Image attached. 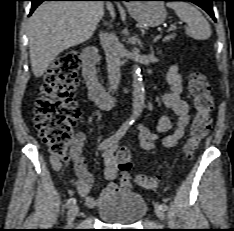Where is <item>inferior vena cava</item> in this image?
<instances>
[{
  "label": "inferior vena cava",
  "mask_w": 234,
  "mask_h": 231,
  "mask_svg": "<svg viewBox=\"0 0 234 231\" xmlns=\"http://www.w3.org/2000/svg\"><path fill=\"white\" fill-rule=\"evenodd\" d=\"M107 5L108 8L111 7L110 3H108ZM100 38L106 53L110 90L115 92L118 89L120 81L121 45L117 36L114 33L111 34L101 33Z\"/></svg>",
  "instance_id": "602c4592"
}]
</instances>
